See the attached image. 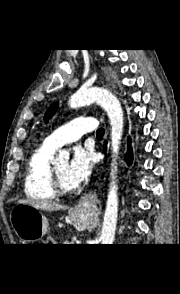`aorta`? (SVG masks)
I'll list each match as a JSON object with an SVG mask.
<instances>
[{
    "mask_svg": "<svg viewBox=\"0 0 180 294\" xmlns=\"http://www.w3.org/2000/svg\"><path fill=\"white\" fill-rule=\"evenodd\" d=\"M96 102L107 112L111 125V183L104 214L101 240L103 245H110L114 241L118 215V187H117V157L119 154L123 133V111L118 99L109 91L92 87L78 90L69 100L71 108H78ZM69 152L60 150L58 158L61 162H68Z\"/></svg>",
    "mask_w": 180,
    "mask_h": 294,
    "instance_id": "obj_1",
    "label": "aorta"
}]
</instances>
